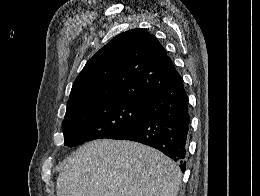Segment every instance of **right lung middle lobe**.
I'll list each match as a JSON object with an SVG mask.
<instances>
[{
    "label": "right lung middle lobe",
    "instance_id": "dd1d6c3e",
    "mask_svg": "<svg viewBox=\"0 0 260 196\" xmlns=\"http://www.w3.org/2000/svg\"><path fill=\"white\" fill-rule=\"evenodd\" d=\"M146 118L139 101L126 96H106L67 106L62 122L64 145L73 147L94 139H113Z\"/></svg>",
    "mask_w": 260,
    "mask_h": 196
}]
</instances>
